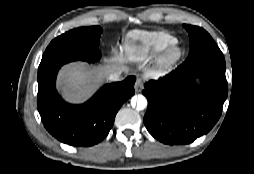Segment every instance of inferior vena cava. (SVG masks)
<instances>
[{"instance_id":"602c4592","label":"inferior vena cava","mask_w":254,"mask_h":174,"mask_svg":"<svg viewBox=\"0 0 254 174\" xmlns=\"http://www.w3.org/2000/svg\"><path fill=\"white\" fill-rule=\"evenodd\" d=\"M123 71H124L123 68H119L117 71H114L113 73H111L109 75L108 79L110 81H118V80H120L121 74H122Z\"/></svg>"}]
</instances>
